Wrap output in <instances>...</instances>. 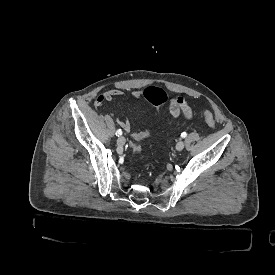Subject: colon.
<instances>
[{
  "instance_id": "obj_1",
  "label": "colon",
  "mask_w": 275,
  "mask_h": 275,
  "mask_svg": "<svg viewBox=\"0 0 275 275\" xmlns=\"http://www.w3.org/2000/svg\"><path fill=\"white\" fill-rule=\"evenodd\" d=\"M144 95L148 101H150L156 105L161 104L167 98V95L165 92L158 90L154 86L147 88L146 91L144 92ZM202 117L209 128L215 129L216 120L211 112L204 110L202 112ZM131 150L133 153H139L140 152V143L133 141L131 143Z\"/></svg>"
}]
</instances>
